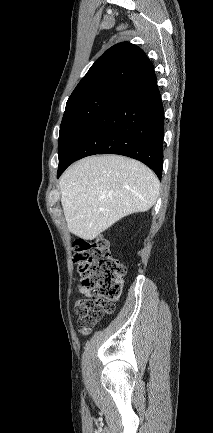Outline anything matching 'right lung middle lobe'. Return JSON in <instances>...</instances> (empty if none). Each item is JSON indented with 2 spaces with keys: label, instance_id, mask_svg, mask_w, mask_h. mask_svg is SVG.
<instances>
[{
  "label": "right lung middle lobe",
  "instance_id": "dd1d6c3e",
  "mask_svg": "<svg viewBox=\"0 0 213 433\" xmlns=\"http://www.w3.org/2000/svg\"><path fill=\"white\" fill-rule=\"evenodd\" d=\"M119 95L116 92H103L66 104L60 126L59 158L78 134Z\"/></svg>",
  "mask_w": 213,
  "mask_h": 433
}]
</instances>
